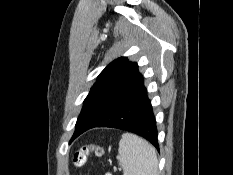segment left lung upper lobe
Listing matches in <instances>:
<instances>
[{"instance_id": "5c2ea615", "label": "left lung upper lobe", "mask_w": 233, "mask_h": 175, "mask_svg": "<svg viewBox=\"0 0 233 175\" xmlns=\"http://www.w3.org/2000/svg\"><path fill=\"white\" fill-rule=\"evenodd\" d=\"M141 77L138 65L129 62L127 58L121 57L111 62L98 76L84 100L72 139L103 116L115 101Z\"/></svg>"}]
</instances>
